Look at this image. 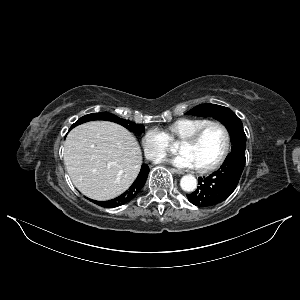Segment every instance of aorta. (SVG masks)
I'll list each match as a JSON object with an SVG mask.
<instances>
[{
  "instance_id": "obj_1",
  "label": "aorta",
  "mask_w": 300,
  "mask_h": 300,
  "mask_svg": "<svg viewBox=\"0 0 300 300\" xmlns=\"http://www.w3.org/2000/svg\"><path fill=\"white\" fill-rule=\"evenodd\" d=\"M180 186L185 192H193L197 187V180L193 175H184L180 180Z\"/></svg>"
}]
</instances>
